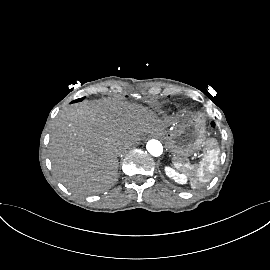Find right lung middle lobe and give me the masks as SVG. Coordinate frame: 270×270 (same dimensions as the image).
Returning a JSON list of instances; mask_svg holds the SVG:
<instances>
[{"instance_id":"1","label":"right lung middle lobe","mask_w":270,"mask_h":270,"mask_svg":"<svg viewBox=\"0 0 270 270\" xmlns=\"http://www.w3.org/2000/svg\"><path fill=\"white\" fill-rule=\"evenodd\" d=\"M84 98H79V99H77V100H74L73 102H79V101H82ZM72 102V103H73Z\"/></svg>"}]
</instances>
